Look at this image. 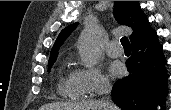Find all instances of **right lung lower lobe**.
<instances>
[{
	"mask_svg": "<svg viewBox=\"0 0 171 110\" xmlns=\"http://www.w3.org/2000/svg\"><path fill=\"white\" fill-rule=\"evenodd\" d=\"M131 48L132 56L126 61L129 75L114 84L113 101L122 110H155L168 94L169 75L162 45L154 31L132 43Z\"/></svg>",
	"mask_w": 171,
	"mask_h": 110,
	"instance_id": "98d812e1",
	"label": "right lung lower lobe"
}]
</instances>
